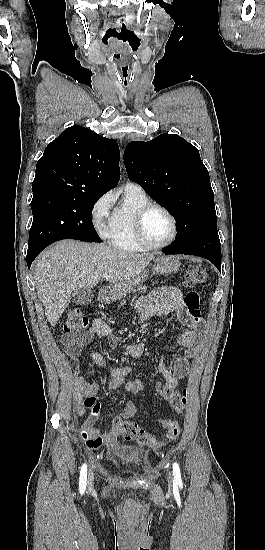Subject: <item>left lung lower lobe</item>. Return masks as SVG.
Here are the masks:
<instances>
[{
	"mask_svg": "<svg viewBox=\"0 0 265 550\" xmlns=\"http://www.w3.org/2000/svg\"><path fill=\"white\" fill-rule=\"evenodd\" d=\"M162 251L169 255V254H189V255H196L203 258H206L210 260L217 268L221 271V256H217L213 253L208 252H191V251H183L175 247L174 245L167 246L162 249Z\"/></svg>",
	"mask_w": 265,
	"mask_h": 550,
	"instance_id": "1",
	"label": "left lung lower lobe"
}]
</instances>
